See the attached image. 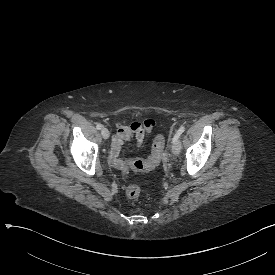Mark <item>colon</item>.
<instances>
[{
    "mask_svg": "<svg viewBox=\"0 0 275 275\" xmlns=\"http://www.w3.org/2000/svg\"><path fill=\"white\" fill-rule=\"evenodd\" d=\"M154 148L150 152V157L148 160L146 159H140V160H129L128 161V168L129 169H135L136 171H148L152 167H155L158 163L161 153L163 152V143L165 141V138L162 134H158L154 138ZM126 195L127 197L131 199H136L141 193V187L136 184H129L126 186Z\"/></svg>",
    "mask_w": 275,
    "mask_h": 275,
    "instance_id": "obj_1",
    "label": "colon"
}]
</instances>
